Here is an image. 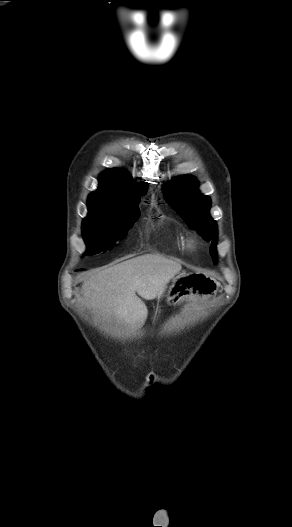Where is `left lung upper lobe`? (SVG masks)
Masks as SVG:
<instances>
[{"label": "left lung upper lobe", "instance_id": "left-lung-upper-lobe-1", "mask_svg": "<svg viewBox=\"0 0 292 527\" xmlns=\"http://www.w3.org/2000/svg\"><path fill=\"white\" fill-rule=\"evenodd\" d=\"M164 196L191 229H196L205 240L212 241L210 254L215 260L217 225L209 214L210 198L198 191L192 177L178 178L167 184Z\"/></svg>", "mask_w": 292, "mask_h": 527}]
</instances>
